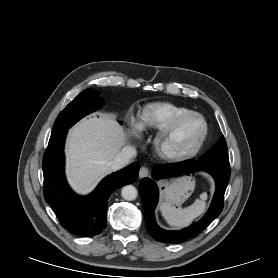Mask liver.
<instances>
[{
  "label": "liver",
  "mask_w": 278,
  "mask_h": 278,
  "mask_svg": "<svg viewBox=\"0 0 278 278\" xmlns=\"http://www.w3.org/2000/svg\"><path fill=\"white\" fill-rule=\"evenodd\" d=\"M127 142L120 124L105 114L73 126L66 143V174L73 189L80 194L91 192L112 172L110 163Z\"/></svg>",
  "instance_id": "obj_1"
}]
</instances>
